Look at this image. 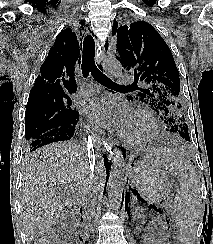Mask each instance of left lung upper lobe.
<instances>
[{
    "instance_id": "left-lung-upper-lobe-1",
    "label": "left lung upper lobe",
    "mask_w": 213,
    "mask_h": 244,
    "mask_svg": "<svg viewBox=\"0 0 213 244\" xmlns=\"http://www.w3.org/2000/svg\"><path fill=\"white\" fill-rule=\"evenodd\" d=\"M113 26L112 33L117 35L116 58L125 70L134 71L131 86L140 91L128 100L148 102L160 115L167 132L189 141L179 71L168 45L147 22L137 21L119 28L116 22Z\"/></svg>"
}]
</instances>
